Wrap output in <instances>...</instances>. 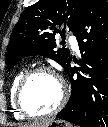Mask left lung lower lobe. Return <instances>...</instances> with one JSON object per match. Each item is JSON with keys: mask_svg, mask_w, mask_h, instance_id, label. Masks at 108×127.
<instances>
[{"mask_svg": "<svg viewBox=\"0 0 108 127\" xmlns=\"http://www.w3.org/2000/svg\"><path fill=\"white\" fill-rule=\"evenodd\" d=\"M82 59L80 67L65 71L71 81V96L56 117L81 127H108V4L86 0L74 29ZM100 67L98 87L90 77L92 65Z\"/></svg>", "mask_w": 108, "mask_h": 127, "instance_id": "1", "label": "left lung lower lobe"}]
</instances>
